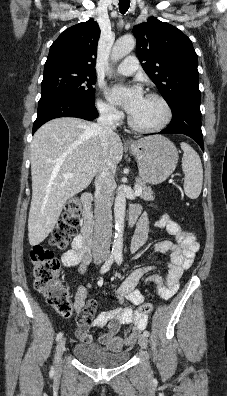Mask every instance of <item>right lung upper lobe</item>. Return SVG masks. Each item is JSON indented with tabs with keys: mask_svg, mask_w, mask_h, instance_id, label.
<instances>
[{
	"mask_svg": "<svg viewBox=\"0 0 227 396\" xmlns=\"http://www.w3.org/2000/svg\"><path fill=\"white\" fill-rule=\"evenodd\" d=\"M99 36V26L93 19L66 29L51 45L44 71L68 69L96 74Z\"/></svg>",
	"mask_w": 227,
	"mask_h": 396,
	"instance_id": "right-lung-upper-lobe-1",
	"label": "right lung upper lobe"
}]
</instances>
